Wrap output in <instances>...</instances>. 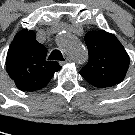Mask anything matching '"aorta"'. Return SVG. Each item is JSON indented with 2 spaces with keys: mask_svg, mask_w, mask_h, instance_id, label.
Masks as SVG:
<instances>
[{
  "mask_svg": "<svg viewBox=\"0 0 135 135\" xmlns=\"http://www.w3.org/2000/svg\"><path fill=\"white\" fill-rule=\"evenodd\" d=\"M61 49L77 63H84L88 58L86 48L70 33H61L57 38Z\"/></svg>",
  "mask_w": 135,
  "mask_h": 135,
  "instance_id": "762f6f07",
  "label": "aorta"
}]
</instances>
